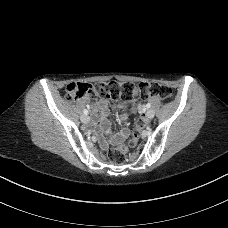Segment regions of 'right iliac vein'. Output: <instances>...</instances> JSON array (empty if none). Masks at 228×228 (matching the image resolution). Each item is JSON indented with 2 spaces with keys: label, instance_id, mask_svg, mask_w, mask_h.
Returning <instances> with one entry per match:
<instances>
[{
  "label": "right iliac vein",
  "instance_id": "63e3f726",
  "mask_svg": "<svg viewBox=\"0 0 228 228\" xmlns=\"http://www.w3.org/2000/svg\"><path fill=\"white\" fill-rule=\"evenodd\" d=\"M80 120L83 122V123H88L90 121V118L87 116V115H82L80 117Z\"/></svg>",
  "mask_w": 228,
  "mask_h": 228
}]
</instances>
